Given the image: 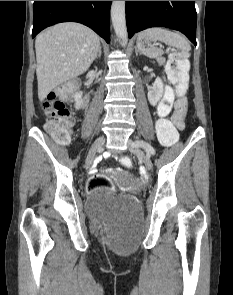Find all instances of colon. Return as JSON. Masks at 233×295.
Returning <instances> with one entry per match:
<instances>
[{"label": "colon", "mask_w": 233, "mask_h": 295, "mask_svg": "<svg viewBox=\"0 0 233 295\" xmlns=\"http://www.w3.org/2000/svg\"><path fill=\"white\" fill-rule=\"evenodd\" d=\"M188 67V60L182 53H175L168 59L167 73L170 80L176 85L179 96L184 95L188 88ZM77 85L76 81H69L61 85L50 92L43 103L44 112L48 117V130L59 144H66L71 139L74 121L64 99L74 94ZM156 133L163 146L172 147L178 141L177 130L174 124L167 119L157 121ZM120 162L124 167L130 168L132 166V161L127 156L121 157ZM87 190L89 193L101 190L113 192L114 184L105 175L93 174L87 181Z\"/></svg>", "instance_id": "5ec220e1"}]
</instances>
